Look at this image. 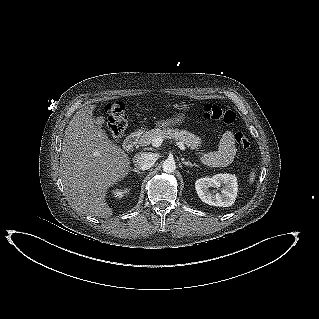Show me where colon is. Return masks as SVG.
Wrapping results in <instances>:
<instances>
[{"instance_id":"5ec220e1","label":"colon","mask_w":319,"mask_h":319,"mask_svg":"<svg viewBox=\"0 0 319 319\" xmlns=\"http://www.w3.org/2000/svg\"><path fill=\"white\" fill-rule=\"evenodd\" d=\"M108 116V129L113 138H120L127 127L126 104L123 101L109 103L104 108ZM199 117L222 122L226 125L235 123L236 115L231 110H226L218 105L206 104L198 113ZM235 142L245 151L251 150V142L245 132H237Z\"/></svg>"}]
</instances>
